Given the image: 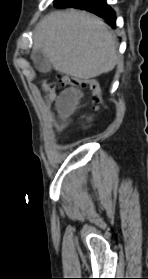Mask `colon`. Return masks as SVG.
<instances>
[{
  "mask_svg": "<svg viewBox=\"0 0 148 279\" xmlns=\"http://www.w3.org/2000/svg\"><path fill=\"white\" fill-rule=\"evenodd\" d=\"M67 88H87L96 98L97 103L102 104L101 87L95 79H77L63 76L59 79L42 85L43 95L47 102H55L60 93Z\"/></svg>",
  "mask_w": 148,
  "mask_h": 279,
  "instance_id": "5ec220e1",
  "label": "colon"
}]
</instances>
